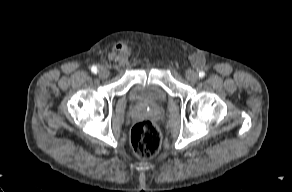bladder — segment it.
Masks as SVG:
<instances>
[{
    "instance_id": "1",
    "label": "bladder",
    "mask_w": 292,
    "mask_h": 192,
    "mask_svg": "<svg viewBox=\"0 0 292 192\" xmlns=\"http://www.w3.org/2000/svg\"><path fill=\"white\" fill-rule=\"evenodd\" d=\"M127 97L134 104L157 106L165 104L169 95L158 83H135L130 87Z\"/></svg>"
}]
</instances>
